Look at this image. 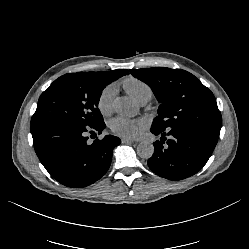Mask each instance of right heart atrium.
<instances>
[{
    "label": "right heart atrium",
    "instance_id": "obj_1",
    "mask_svg": "<svg viewBox=\"0 0 249 249\" xmlns=\"http://www.w3.org/2000/svg\"><path fill=\"white\" fill-rule=\"evenodd\" d=\"M115 94L116 89L113 85H106L100 91L97 98V108L103 115L112 112Z\"/></svg>",
    "mask_w": 249,
    "mask_h": 249
}]
</instances>
